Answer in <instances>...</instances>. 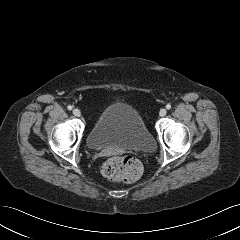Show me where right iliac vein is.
<instances>
[{
  "label": "right iliac vein",
  "mask_w": 240,
  "mask_h": 240,
  "mask_svg": "<svg viewBox=\"0 0 240 240\" xmlns=\"http://www.w3.org/2000/svg\"><path fill=\"white\" fill-rule=\"evenodd\" d=\"M73 115L76 116V117H80L81 116V112L79 109H73Z\"/></svg>",
  "instance_id": "right-iliac-vein-1"
}]
</instances>
